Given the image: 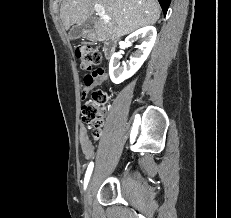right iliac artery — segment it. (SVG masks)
<instances>
[{"label": "right iliac artery", "mask_w": 231, "mask_h": 218, "mask_svg": "<svg viewBox=\"0 0 231 218\" xmlns=\"http://www.w3.org/2000/svg\"><path fill=\"white\" fill-rule=\"evenodd\" d=\"M93 165H94L93 162H90V164L87 168L85 179H84V189H86L87 184L89 182V178H90V175H91L92 170H93Z\"/></svg>", "instance_id": "1"}]
</instances>
